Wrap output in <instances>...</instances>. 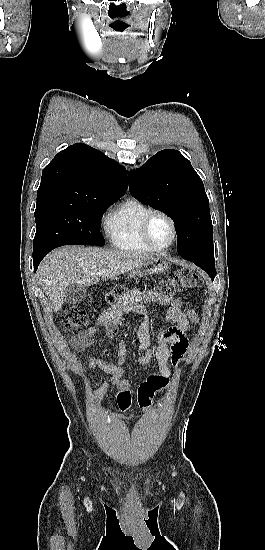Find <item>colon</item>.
<instances>
[{
    "instance_id": "colon-1",
    "label": "colon",
    "mask_w": 265,
    "mask_h": 550,
    "mask_svg": "<svg viewBox=\"0 0 265 550\" xmlns=\"http://www.w3.org/2000/svg\"><path fill=\"white\" fill-rule=\"evenodd\" d=\"M201 285V280L190 269H180L171 277L163 280L160 290L167 294H176L195 289ZM125 288L121 285L114 286L105 295L108 303L115 302L125 294ZM89 317L87 313L77 306H69L64 311V326L67 331H76L87 327ZM167 387V381L160 375L148 377L142 382L136 391V403L145 412L150 413L154 396Z\"/></svg>"
}]
</instances>
